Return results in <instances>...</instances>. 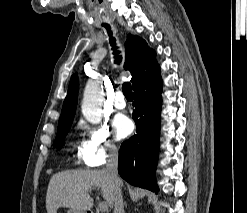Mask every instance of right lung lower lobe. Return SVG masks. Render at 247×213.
I'll return each mask as SVG.
<instances>
[{
  "mask_svg": "<svg viewBox=\"0 0 247 213\" xmlns=\"http://www.w3.org/2000/svg\"><path fill=\"white\" fill-rule=\"evenodd\" d=\"M133 90L136 134L121 145L118 172L130 184L157 193L155 170L158 161L162 103L160 71L136 85Z\"/></svg>",
  "mask_w": 247,
  "mask_h": 213,
  "instance_id": "1",
  "label": "right lung lower lobe"
}]
</instances>
